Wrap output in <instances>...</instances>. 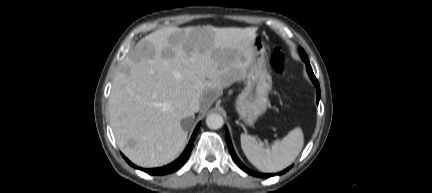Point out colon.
Masks as SVG:
<instances>
[{"label":"colon","instance_id":"colon-1","mask_svg":"<svg viewBox=\"0 0 432 193\" xmlns=\"http://www.w3.org/2000/svg\"><path fill=\"white\" fill-rule=\"evenodd\" d=\"M271 66L276 73L283 74L286 71V58L279 48L274 50Z\"/></svg>","mask_w":432,"mask_h":193}]
</instances>
